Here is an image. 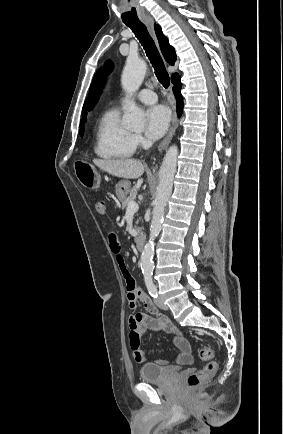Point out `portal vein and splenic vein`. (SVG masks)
<instances>
[{
    "instance_id": "portal-vein-and-splenic-vein-1",
    "label": "portal vein and splenic vein",
    "mask_w": 283,
    "mask_h": 434,
    "mask_svg": "<svg viewBox=\"0 0 283 434\" xmlns=\"http://www.w3.org/2000/svg\"><path fill=\"white\" fill-rule=\"evenodd\" d=\"M139 209L138 204L135 201H130L127 207V213H135Z\"/></svg>"
}]
</instances>
